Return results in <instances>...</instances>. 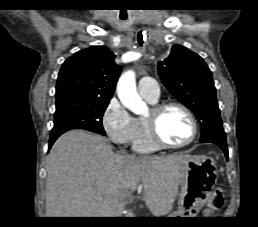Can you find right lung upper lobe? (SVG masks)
<instances>
[{
    "instance_id": "right-lung-upper-lobe-1",
    "label": "right lung upper lobe",
    "mask_w": 258,
    "mask_h": 227,
    "mask_svg": "<svg viewBox=\"0 0 258 227\" xmlns=\"http://www.w3.org/2000/svg\"><path fill=\"white\" fill-rule=\"evenodd\" d=\"M114 58L115 55L105 46L78 51L63 63L55 96L76 95L109 101L121 72Z\"/></svg>"
}]
</instances>
